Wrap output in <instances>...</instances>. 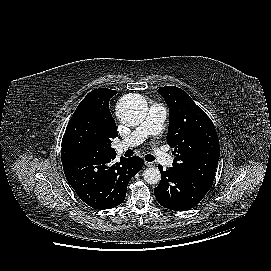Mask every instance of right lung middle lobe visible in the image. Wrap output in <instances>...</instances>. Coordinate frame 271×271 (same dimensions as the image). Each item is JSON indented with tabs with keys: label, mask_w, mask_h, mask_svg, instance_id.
<instances>
[{
	"label": "right lung middle lobe",
	"mask_w": 271,
	"mask_h": 271,
	"mask_svg": "<svg viewBox=\"0 0 271 271\" xmlns=\"http://www.w3.org/2000/svg\"><path fill=\"white\" fill-rule=\"evenodd\" d=\"M103 108L97 109L93 114L72 115L62 139L61 152L73 150L109 154L107 149L111 143L109 133L116 129V124L109 111V105Z\"/></svg>",
	"instance_id": "obj_1"
}]
</instances>
